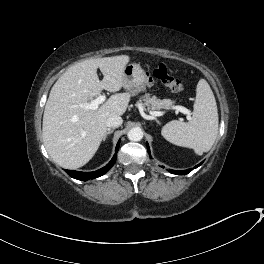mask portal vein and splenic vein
Listing matches in <instances>:
<instances>
[{"label": "portal vein and splenic vein", "instance_id": "portal-vein-and-splenic-vein-1", "mask_svg": "<svg viewBox=\"0 0 264 264\" xmlns=\"http://www.w3.org/2000/svg\"><path fill=\"white\" fill-rule=\"evenodd\" d=\"M105 100H106L105 95H99L96 99L92 100L91 102H88V103L81 105V107H83L87 110H96V109H98V106L100 104H102ZM173 109L176 110L177 112H181L183 114H186L187 119L191 120V113L187 108L177 105V106H174ZM150 114L153 116H162L164 114V112L152 111V112H150Z\"/></svg>", "mask_w": 264, "mask_h": 264}]
</instances>
